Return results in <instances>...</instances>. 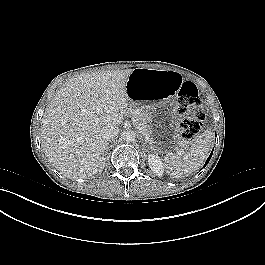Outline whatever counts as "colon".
I'll list each match as a JSON object with an SVG mask.
<instances>
[{"label": "colon", "instance_id": "colon-1", "mask_svg": "<svg viewBox=\"0 0 265 265\" xmlns=\"http://www.w3.org/2000/svg\"><path fill=\"white\" fill-rule=\"evenodd\" d=\"M179 100L177 112L185 115L181 122L183 138L191 140L195 138L201 130V121L205 114L200 109V98L196 87L190 82H183L179 90Z\"/></svg>", "mask_w": 265, "mask_h": 265}]
</instances>
